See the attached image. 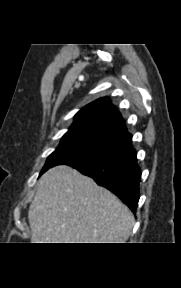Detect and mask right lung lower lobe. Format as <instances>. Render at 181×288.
<instances>
[{
  "instance_id": "1",
  "label": "right lung lower lobe",
  "mask_w": 181,
  "mask_h": 288,
  "mask_svg": "<svg viewBox=\"0 0 181 288\" xmlns=\"http://www.w3.org/2000/svg\"><path fill=\"white\" fill-rule=\"evenodd\" d=\"M68 165L92 177L99 185L117 195L131 211L136 212L141 172L134 149L112 157L82 160Z\"/></svg>"
}]
</instances>
